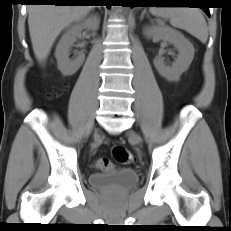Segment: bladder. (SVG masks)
I'll return each mask as SVG.
<instances>
[{
    "label": "bladder",
    "mask_w": 231,
    "mask_h": 231,
    "mask_svg": "<svg viewBox=\"0 0 231 231\" xmlns=\"http://www.w3.org/2000/svg\"><path fill=\"white\" fill-rule=\"evenodd\" d=\"M139 176L132 169H119L88 176L89 185L106 192H124L138 184Z\"/></svg>",
    "instance_id": "bladder-1"
}]
</instances>
